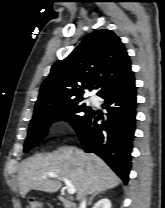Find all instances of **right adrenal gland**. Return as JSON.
Returning a JSON list of instances; mask_svg holds the SVG:
<instances>
[{
  "label": "right adrenal gland",
  "mask_w": 165,
  "mask_h": 208,
  "mask_svg": "<svg viewBox=\"0 0 165 208\" xmlns=\"http://www.w3.org/2000/svg\"><path fill=\"white\" fill-rule=\"evenodd\" d=\"M106 192V190H102V191H99V192H97V193H94L91 197H90V199H89V201H88V205H91L92 204V200L94 199V197H96L97 195H99V194H103V193H105Z\"/></svg>",
  "instance_id": "right-adrenal-gland-1"
}]
</instances>
